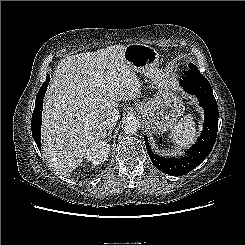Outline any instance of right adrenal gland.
<instances>
[{
	"mask_svg": "<svg viewBox=\"0 0 245 245\" xmlns=\"http://www.w3.org/2000/svg\"><path fill=\"white\" fill-rule=\"evenodd\" d=\"M111 133H112V130L108 131V134H106L105 138L108 137V141L111 139Z\"/></svg>",
	"mask_w": 245,
	"mask_h": 245,
	"instance_id": "obj_1",
	"label": "right adrenal gland"
}]
</instances>
